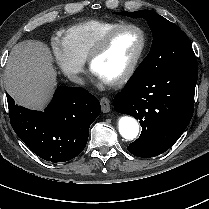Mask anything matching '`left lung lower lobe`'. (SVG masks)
<instances>
[{"label":"left lung lower lobe","mask_w":209,"mask_h":209,"mask_svg":"<svg viewBox=\"0 0 209 209\" xmlns=\"http://www.w3.org/2000/svg\"><path fill=\"white\" fill-rule=\"evenodd\" d=\"M197 79L196 60L159 75L134 72L114 98V109L142 126L140 137L127 147L130 153L155 157L174 145L192 118Z\"/></svg>","instance_id":"1"}]
</instances>
